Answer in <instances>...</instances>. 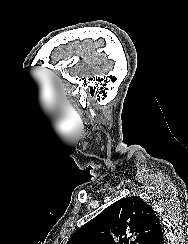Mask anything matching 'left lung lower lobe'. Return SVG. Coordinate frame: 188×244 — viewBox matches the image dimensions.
Instances as JSON below:
<instances>
[{
  "instance_id": "obj_1",
  "label": "left lung lower lobe",
  "mask_w": 188,
  "mask_h": 244,
  "mask_svg": "<svg viewBox=\"0 0 188 244\" xmlns=\"http://www.w3.org/2000/svg\"><path fill=\"white\" fill-rule=\"evenodd\" d=\"M147 244H165L164 234L159 220L154 225Z\"/></svg>"
}]
</instances>
